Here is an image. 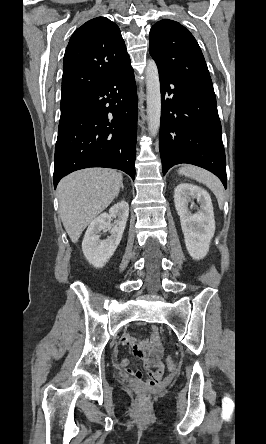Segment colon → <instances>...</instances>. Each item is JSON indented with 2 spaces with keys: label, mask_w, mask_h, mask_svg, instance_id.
I'll return each instance as SVG.
<instances>
[{
  "label": "colon",
  "mask_w": 266,
  "mask_h": 444,
  "mask_svg": "<svg viewBox=\"0 0 266 444\" xmlns=\"http://www.w3.org/2000/svg\"><path fill=\"white\" fill-rule=\"evenodd\" d=\"M166 364L169 370H174L176 365H175V361L172 357H167L166 359ZM149 401V394L146 392H142L141 394H139L138 396V402L141 405L146 404Z\"/></svg>",
  "instance_id": "obj_1"
}]
</instances>
